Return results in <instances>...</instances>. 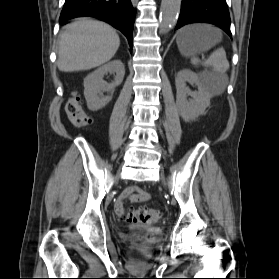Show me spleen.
Listing matches in <instances>:
<instances>
[{"mask_svg": "<svg viewBox=\"0 0 279 279\" xmlns=\"http://www.w3.org/2000/svg\"><path fill=\"white\" fill-rule=\"evenodd\" d=\"M194 65H197L200 60L196 57L191 59ZM206 67H212L214 72L219 76V80L215 83L208 84V89L212 95H220L224 92L227 85V75L226 71L229 68V62L226 58L225 50L220 47L213 51L207 61L204 63Z\"/></svg>", "mask_w": 279, "mask_h": 279, "instance_id": "1", "label": "spleen"}]
</instances>
